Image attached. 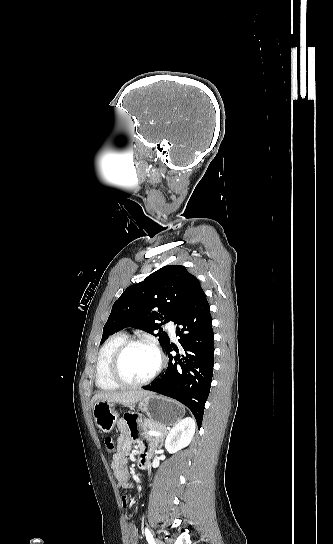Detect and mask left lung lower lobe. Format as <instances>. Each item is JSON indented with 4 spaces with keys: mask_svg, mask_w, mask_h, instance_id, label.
I'll use <instances>...</instances> for the list:
<instances>
[{
    "mask_svg": "<svg viewBox=\"0 0 333 544\" xmlns=\"http://www.w3.org/2000/svg\"><path fill=\"white\" fill-rule=\"evenodd\" d=\"M176 324L181 353L169 343L165 351L169 364L165 374L156 383L143 389L174 398L186 405L200 428L205 402L208 398L214 365V333L209 303L201 294L181 315ZM175 350L176 356L170 352Z\"/></svg>",
    "mask_w": 333,
    "mask_h": 544,
    "instance_id": "1",
    "label": "left lung lower lobe"
}]
</instances>
